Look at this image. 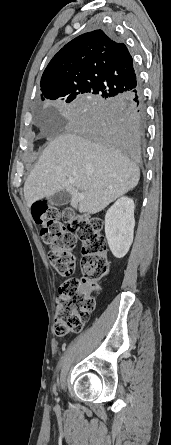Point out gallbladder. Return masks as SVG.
<instances>
[{"label":"gallbladder","instance_id":"obj_1","mask_svg":"<svg viewBox=\"0 0 171 445\" xmlns=\"http://www.w3.org/2000/svg\"><path fill=\"white\" fill-rule=\"evenodd\" d=\"M71 195L65 191H59L50 197H48V203L50 206H61L70 202Z\"/></svg>","mask_w":171,"mask_h":445}]
</instances>
